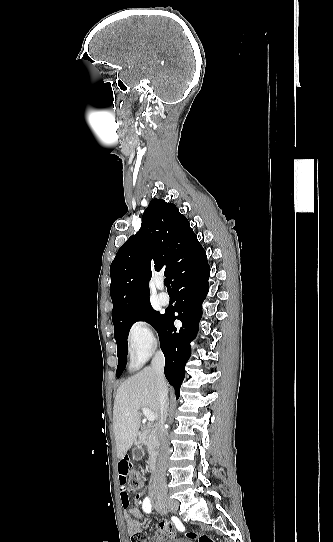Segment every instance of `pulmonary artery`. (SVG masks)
Wrapping results in <instances>:
<instances>
[{
	"instance_id": "e3ab8cb5",
	"label": "pulmonary artery",
	"mask_w": 333,
	"mask_h": 542,
	"mask_svg": "<svg viewBox=\"0 0 333 542\" xmlns=\"http://www.w3.org/2000/svg\"><path fill=\"white\" fill-rule=\"evenodd\" d=\"M164 289L163 288H160L158 291H163ZM161 301V304L162 305H167L168 304V301L166 300H160Z\"/></svg>"
}]
</instances>
